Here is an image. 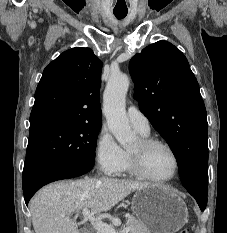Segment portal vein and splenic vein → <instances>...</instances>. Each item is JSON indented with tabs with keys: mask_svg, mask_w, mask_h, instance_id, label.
Here are the masks:
<instances>
[{
	"mask_svg": "<svg viewBox=\"0 0 227 233\" xmlns=\"http://www.w3.org/2000/svg\"><path fill=\"white\" fill-rule=\"evenodd\" d=\"M83 216L86 220H89L93 228L97 233H118L113 226L102 222L100 219L95 218L94 214L89 211V209H83ZM130 231L129 227H124L120 233H128Z\"/></svg>",
	"mask_w": 227,
	"mask_h": 233,
	"instance_id": "obj_1",
	"label": "portal vein and splenic vein"
}]
</instances>
